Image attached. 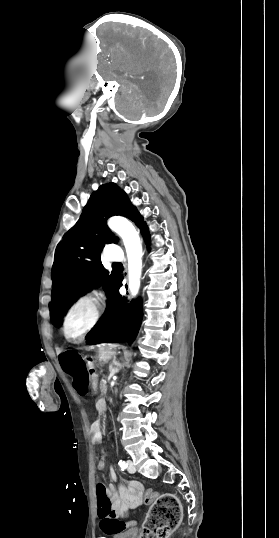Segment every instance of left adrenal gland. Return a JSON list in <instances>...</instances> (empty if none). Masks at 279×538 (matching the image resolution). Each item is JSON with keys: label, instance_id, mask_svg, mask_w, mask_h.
Here are the masks:
<instances>
[{"label": "left adrenal gland", "instance_id": "left-adrenal-gland-1", "mask_svg": "<svg viewBox=\"0 0 279 538\" xmlns=\"http://www.w3.org/2000/svg\"><path fill=\"white\" fill-rule=\"evenodd\" d=\"M114 362H116V360H114ZM117 364H118V362H117ZM118 368H119V366H118Z\"/></svg>", "mask_w": 279, "mask_h": 538}]
</instances>
